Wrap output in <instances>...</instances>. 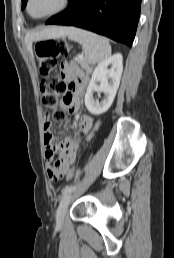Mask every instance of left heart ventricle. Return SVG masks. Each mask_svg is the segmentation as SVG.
I'll use <instances>...</instances> for the list:
<instances>
[{
    "instance_id": "b2bd125f",
    "label": "left heart ventricle",
    "mask_w": 174,
    "mask_h": 258,
    "mask_svg": "<svg viewBox=\"0 0 174 258\" xmlns=\"http://www.w3.org/2000/svg\"><path fill=\"white\" fill-rule=\"evenodd\" d=\"M60 0H33L30 6L32 15L39 16L55 9Z\"/></svg>"
}]
</instances>
